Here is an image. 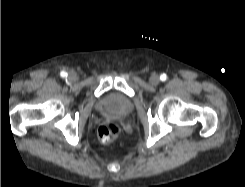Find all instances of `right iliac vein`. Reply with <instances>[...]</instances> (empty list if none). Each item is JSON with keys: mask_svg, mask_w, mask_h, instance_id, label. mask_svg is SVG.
<instances>
[{"mask_svg": "<svg viewBox=\"0 0 245 187\" xmlns=\"http://www.w3.org/2000/svg\"><path fill=\"white\" fill-rule=\"evenodd\" d=\"M69 82H75L77 80V75L75 72H69L67 77Z\"/></svg>", "mask_w": 245, "mask_h": 187, "instance_id": "right-iliac-vein-1", "label": "right iliac vein"}]
</instances>
